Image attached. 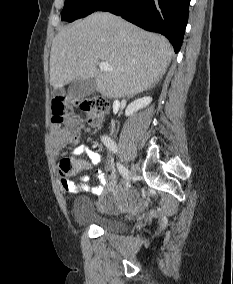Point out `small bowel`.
Returning a JSON list of instances; mask_svg holds the SVG:
<instances>
[{"label":"small bowel","instance_id":"obj_1","mask_svg":"<svg viewBox=\"0 0 233 284\" xmlns=\"http://www.w3.org/2000/svg\"><path fill=\"white\" fill-rule=\"evenodd\" d=\"M57 138L60 141H64L67 138V132L59 130L57 132ZM81 153H86L89 161L85 160H72L76 170H89L92 166H96L100 163V155L93 148L81 145L76 151L75 155ZM95 175L99 181V185L90 186L88 181L90 180L89 176H83L81 178V183H72L66 179H61V185L63 189L67 192L77 193L81 191H91L94 194L100 195L104 194L102 199L101 207L105 212L114 211L117 208L124 206L125 202L120 201L117 197L111 196L110 194L114 193L117 189L116 181L113 175L106 176L102 171L96 170Z\"/></svg>","mask_w":233,"mask_h":284}]
</instances>
